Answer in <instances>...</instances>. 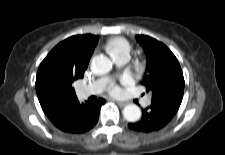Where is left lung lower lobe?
Instances as JSON below:
<instances>
[{"mask_svg":"<svg viewBox=\"0 0 225 155\" xmlns=\"http://www.w3.org/2000/svg\"><path fill=\"white\" fill-rule=\"evenodd\" d=\"M178 109L173 105L152 102L150 107L143 109L141 120L129 123L128 127L134 131L146 133L158 131L171 121Z\"/></svg>","mask_w":225,"mask_h":155,"instance_id":"1","label":"left lung lower lobe"}]
</instances>
